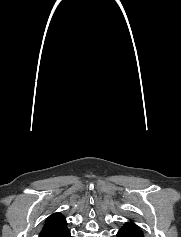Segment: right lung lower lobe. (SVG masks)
Returning <instances> with one entry per match:
<instances>
[{
	"instance_id": "obj_1",
	"label": "right lung lower lobe",
	"mask_w": 181,
	"mask_h": 237,
	"mask_svg": "<svg viewBox=\"0 0 181 237\" xmlns=\"http://www.w3.org/2000/svg\"><path fill=\"white\" fill-rule=\"evenodd\" d=\"M64 237H71L70 232H68L66 235H64Z\"/></svg>"
}]
</instances>
